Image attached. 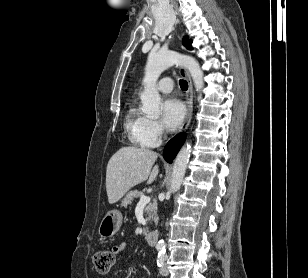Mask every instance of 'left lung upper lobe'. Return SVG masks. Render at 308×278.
<instances>
[{"label":"left lung upper lobe","mask_w":308,"mask_h":278,"mask_svg":"<svg viewBox=\"0 0 308 278\" xmlns=\"http://www.w3.org/2000/svg\"><path fill=\"white\" fill-rule=\"evenodd\" d=\"M184 45H186V47H187L188 49H191V40L188 41V39L185 38V39H184Z\"/></svg>","instance_id":"5c2ea615"}]
</instances>
